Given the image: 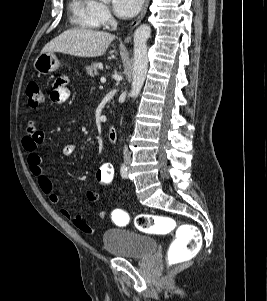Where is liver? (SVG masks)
<instances>
[{
	"label": "liver",
	"mask_w": 267,
	"mask_h": 301,
	"mask_svg": "<svg viewBox=\"0 0 267 301\" xmlns=\"http://www.w3.org/2000/svg\"><path fill=\"white\" fill-rule=\"evenodd\" d=\"M114 35L89 29H70L47 43L41 53L60 52L77 57H98L105 53Z\"/></svg>",
	"instance_id": "obj_1"
}]
</instances>
